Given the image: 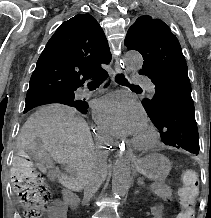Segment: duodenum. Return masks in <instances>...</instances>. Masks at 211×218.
<instances>
[{
    "label": "duodenum",
    "mask_w": 211,
    "mask_h": 218,
    "mask_svg": "<svg viewBox=\"0 0 211 218\" xmlns=\"http://www.w3.org/2000/svg\"><path fill=\"white\" fill-rule=\"evenodd\" d=\"M63 195H64L65 202L70 206L72 210L76 211L78 208L77 196L69 189H65Z\"/></svg>",
    "instance_id": "1"
}]
</instances>
